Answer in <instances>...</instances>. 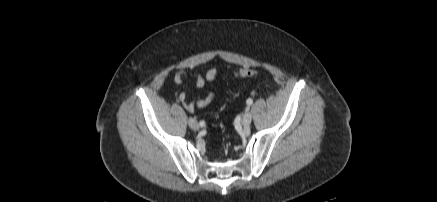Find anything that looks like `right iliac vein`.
I'll return each mask as SVG.
<instances>
[{
	"label": "right iliac vein",
	"instance_id": "right-iliac-vein-1",
	"mask_svg": "<svg viewBox=\"0 0 437 202\" xmlns=\"http://www.w3.org/2000/svg\"><path fill=\"white\" fill-rule=\"evenodd\" d=\"M188 124H189L191 129L199 130L200 126H199L198 122L194 118H189Z\"/></svg>",
	"mask_w": 437,
	"mask_h": 202
}]
</instances>
